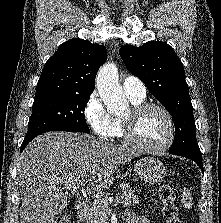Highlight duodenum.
<instances>
[{"label":"duodenum","mask_w":221,"mask_h":223,"mask_svg":"<svg viewBox=\"0 0 221 223\" xmlns=\"http://www.w3.org/2000/svg\"><path fill=\"white\" fill-rule=\"evenodd\" d=\"M89 203L85 200H78L76 204V216L80 221H83L89 212Z\"/></svg>","instance_id":"duodenum-1"}]
</instances>
